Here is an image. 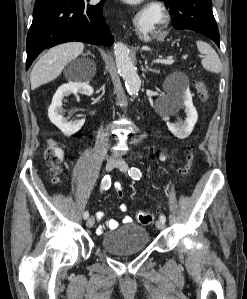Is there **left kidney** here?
<instances>
[{
  "instance_id": "1",
  "label": "left kidney",
  "mask_w": 247,
  "mask_h": 299,
  "mask_svg": "<svg viewBox=\"0 0 247 299\" xmlns=\"http://www.w3.org/2000/svg\"><path fill=\"white\" fill-rule=\"evenodd\" d=\"M185 107L186 119L184 122L170 123L167 122L169 131L179 139L187 138L198 120V114L196 108L192 102V95L189 87H185L172 96V103L166 110V114H173L180 107Z\"/></svg>"
}]
</instances>
